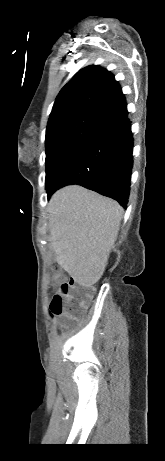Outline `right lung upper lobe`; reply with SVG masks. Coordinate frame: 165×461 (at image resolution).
Instances as JSON below:
<instances>
[{
  "instance_id": "obj_1",
  "label": "right lung upper lobe",
  "mask_w": 165,
  "mask_h": 461,
  "mask_svg": "<svg viewBox=\"0 0 165 461\" xmlns=\"http://www.w3.org/2000/svg\"><path fill=\"white\" fill-rule=\"evenodd\" d=\"M126 100L113 74L100 66L81 69L60 91L48 123L93 115L103 120L125 111Z\"/></svg>"
}]
</instances>
